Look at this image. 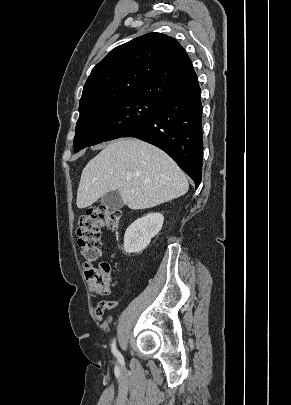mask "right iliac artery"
I'll use <instances>...</instances> for the list:
<instances>
[{
	"label": "right iliac artery",
	"mask_w": 291,
	"mask_h": 405,
	"mask_svg": "<svg viewBox=\"0 0 291 405\" xmlns=\"http://www.w3.org/2000/svg\"><path fill=\"white\" fill-rule=\"evenodd\" d=\"M112 352L113 354L117 357V359L122 362L123 361V357L120 354V352L116 349V344H115V340L112 343Z\"/></svg>",
	"instance_id": "obj_1"
}]
</instances>
